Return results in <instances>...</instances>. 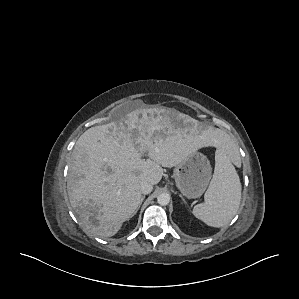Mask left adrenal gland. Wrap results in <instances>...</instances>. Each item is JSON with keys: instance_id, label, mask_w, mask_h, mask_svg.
I'll return each mask as SVG.
<instances>
[{"instance_id": "1", "label": "left adrenal gland", "mask_w": 299, "mask_h": 299, "mask_svg": "<svg viewBox=\"0 0 299 299\" xmlns=\"http://www.w3.org/2000/svg\"><path fill=\"white\" fill-rule=\"evenodd\" d=\"M181 197V199L183 200V202L186 204L185 199L182 197V195H179Z\"/></svg>"}]
</instances>
